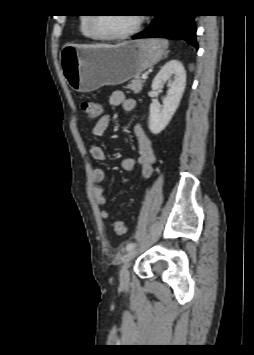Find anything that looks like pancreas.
Here are the masks:
<instances>
[{"label": "pancreas", "mask_w": 254, "mask_h": 355, "mask_svg": "<svg viewBox=\"0 0 254 355\" xmlns=\"http://www.w3.org/2000/svg\"><path fill=\"white\" fill-rule=\"evenodd\" d=\"M143 83H144V80L140 79L139 77H136L128 85H126L125 88L130 89L135 94H138L142 90Z\"/></svg>", "instance_id": "pancreas-1"}]
</instances>
